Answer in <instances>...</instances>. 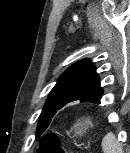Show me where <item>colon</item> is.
Returning a JSON list of instances; mask_svg holds the SVG:
<instances>
[{"instance_id":"5ec220e1","label":"colon","mask_w":130,"mask_h":153,"mask_svg":"<svg viewBox=\"0 0 130 153\" xmlns=\"http://www.w3.org/2000/svg\"><path fill=\"white\" fill-rule=\"evenodd\" d=\"M39 153H60L62 149L59 147L57 139L54 136H47L40 144Z\"/></svg>"}]
</instances>
